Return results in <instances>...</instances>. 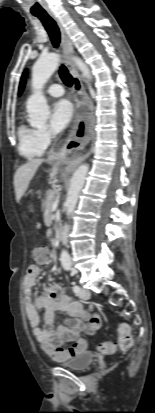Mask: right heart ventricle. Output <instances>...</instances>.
<instances>
[{"mask_svg": "<svg viewBox=\"0 0 155 413\" xmlns=\"http://www.w3.org/2000/svg\"><path fill=\"white\" fill-rule=\"evenodd\" d=\"M37 132L38 130L24 122L19 125L18 150L22 157L32 160L43 155L45 149L39 143Z\"/></svg>", "mask_w": 155, "mask_h": 413, "instance_id": "right-heart-ventricle-1", "label": "right heart ventricle"}]
</instances>
